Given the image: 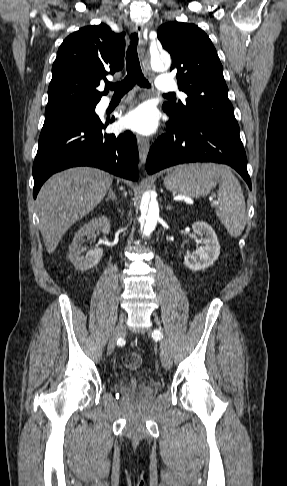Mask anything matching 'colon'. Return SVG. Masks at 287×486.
I'll return each instance as SVG.
<instances>
[{"instance_id":"5ec220e1","label":"colon","mask_w":287,"mask_h":486,"mask_svg":"<svg viewBox=\"0 0 287 486\" xmlns=\"http://www.w3.org/2000/svg\"><path fill=\"white\" fill-rule=\"evenodd\" d=\"M142 363L141 356L136 352H128L123 356V364L130 370H136Z\"/></svg>"}]
</instances>
